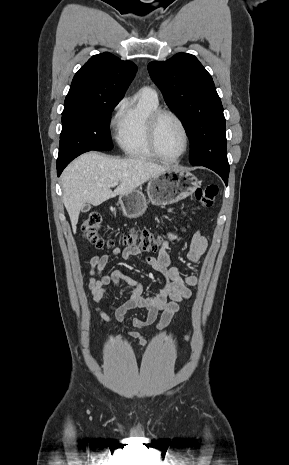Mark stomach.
<instances>
[{"mask_svg":"<svg viewBox=\"0 0 289 465\" xmlns=\"http://www.w3.org/2000/svg\"><path fill=\"white\" fill-rule=\"evenodd\" d=\"M196 176L179 167H170L161 174L152 177L147 185L149 201L140 190L121 195L118 200L120 211L124 216L135 219L142 216L151 202L156 206L176 203L190 196L199 186Z\"/></svg>","mask_w":289,"mask_h":465,"instance_id":"0dacf381","label":"stomach"}]
</instances>
